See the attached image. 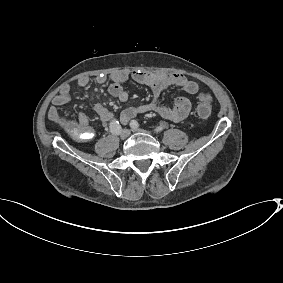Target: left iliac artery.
<instances>
[{
    "label": "left iliac artery",
    "instance_id": "obj_1",
    "mask_svg": "<svg viewBox=\"0 0 283 283\" xmlns=\"http://www.w3.org/2000/svg\"><path fill=\"white\" fill-rule=\"evenodd\" d=\"M131 127H139V123L136 120H131L130 122ZM163 130V127L159 126L154 129V132L159 133Z\"/></svg>",
    "mask_w": 283,
    "mask_h": 283
}]
</instances>
